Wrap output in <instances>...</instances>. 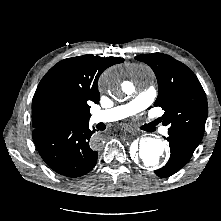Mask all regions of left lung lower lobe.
<instances>
[{
    "instance_id": "0a47b994",
    "label": "left lung lower lobe",
    "mask_w": 221,
    "mask_h": 221,
    "mask_svg": "<svg viewBox=\"0 0 221 221\" xmlns=\"http://www.w3.org/2000/svg\"><path fill=\"white\" fill-rule=\"evenodd\" d=\"M168 135L166 139L170 144V159L165 166L154 171L161 178L169 177L178 172L192 157L194 150L201 141L182 133L168 132Z\"/></svg>"
}]
</instances>
